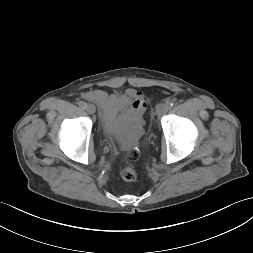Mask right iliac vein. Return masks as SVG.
I'll return each mask as SVG.
<instances>
[{
	"label": "right iliac vein",
	"instance_id": "obj_1",
	"mask_svg": "<svg viewBox=\"0 0 253 253\" xmlns=\"http://www.w3.org/2000/svg\"><path fill=\"white\" fill-rule=\"evenodd\" d=\"M86 111H87L89 114L95 113V111H96L95 106L92 105V104H88V105L86 106Z\"/></svg>",
	"mask_w": 253,
	"mask_h": 253
}]
</instances>
